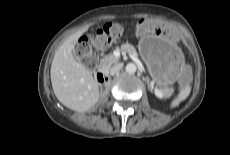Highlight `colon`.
Masks as SVG:
<instances>
[{
	"label": "colon",
	"mask_w": 230,
	"mask_h": 155,
	"mask_svg": "<svg viewBox=\"0 0 230 155\" xmlns=\"http://www.w3.org/2000/svg\"><path fill=\"white\" fill-rule=\"evenodd\" d=\"M123 36V28L117 23H106L99 28L96 33L91 36H82L80 42L77 44L76 51L78 56L82 59L88 68H94L97 63L94 49H106L114 41ZM182 81L186 82L188 78V69H182Z\"/></svg>",
	"instance_id": "1"
}]
</instances>
